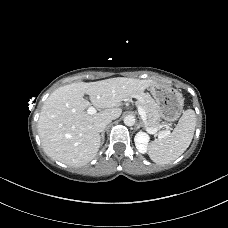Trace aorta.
<instances>
[{"label": "aorta", "mask_w": 228, "mask_h": 228, "mask_svg": "<svg viewBox=\"0 0 228 228\" xmlns=\"http://www.w3.org/2000/svg\"><path fill=\"white\" fill-rule=\"evenodd\" d=\"M124 124L126 126H133L135 124V117L132 115H127L124 117Z\"/></svg>", "instance_id": "762f6f07"}]
</instances>
